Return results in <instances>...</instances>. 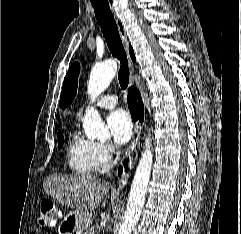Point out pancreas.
<instances>
[{"instance_id":"1","label":"pancreas","mask_w":241,"mask_h":234,"mask_svg":"<svg viewBox=\"0 0 241 234\" xmlns=\"http://www.w3.org/2000/svg\"><path fill=\"white\" fill-rule=\"evenodd\" d=\"M84 234H95L93 227L88 228Z\"/></svg>"}]
</instances>
